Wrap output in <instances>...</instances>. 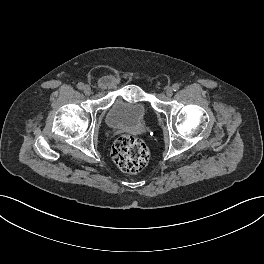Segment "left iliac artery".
I'll use <instances>...</instances> for the list:
<instances>
[{
  "label": "left iliac artery",
  "mask_w": 264,
  "mask_h": 264,
  "mask_svg": "<svg viewBox=\"0 0 264 264\" xmlns=\"http://www.w3.org/2000/svg\"><path fill=\"white\" fill-rule=\"evenodd\" d=\"M172 88H173L174 91H178L179 88H180V85L176 83V84H174V85L172 86Z\"/></svg>",
  "instance_id": "obj_1"
}]
</instances>
